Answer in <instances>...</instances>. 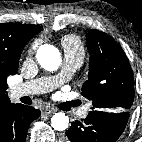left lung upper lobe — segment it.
Masks as SVG:
<instances>
[{"label":"left lung upper lobe","mask_w":142,"mask_h":142,"mask_svg":"<svg viewBox=\"0 0 142 142\" xmlns=\"http://www.w3.org/2000/svg\"><path fill=\"white\" fill-rule=\"evenodd\" d=\"M86 42L90 63L82 95L92 101V110L129 111L134 99V79L123 49L111 36L94 29L87 34Z\"/></svg>","instance_id":"5c2ea615"}]
</instances>
